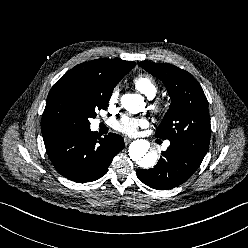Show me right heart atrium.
Masks as SVG:
<instances>
[{
  "label": "right heart atrium",
  "mask_w": 248,
  "mask_h": 248,
  "mask_svg": "<svg viewBox=\"0 0 248 248\" xmlns=\"http://www.w3.org/2000/svg\"><path fill=\"white\" fill-rule=\"evenodd\" d=\"M118 97H119V89L118 87H115L110 95V102L111 103L117 102Z\"/></svg>",
  "instance_id": "obj_1"
}]
</instances>
